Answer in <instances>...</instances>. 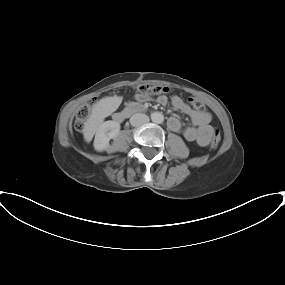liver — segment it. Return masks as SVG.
<instances>
[{
    "instance_id": "6515ba94",
    "label": "liver",
    "mask_w": 285,
    "mask_h": 285,
    "mask_svg": "<svg viewBox=\"0 0 285 285\" xmlns=\"http://www.w3.org/2000/svg\"><path fill=\"white\" fill-rule=\"evenodd\" d=\"M115 97H106L99 100L92 108L88 120L84 124L83 135L86 142H90L97 131L100 123L110 111V105L115 101Z\"/></svg>"
}]
</instances>
